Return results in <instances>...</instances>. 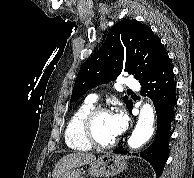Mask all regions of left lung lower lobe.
Masks as SVG:
<instances>
[{
  "label": "left lung lower lobe",
  "instance_id": "obj_1",
  "mask_svg": "<svg viewBox=\"0 0 194 178\" xmlns=\"http://www.w3.org/2000/svg\"><path fill=\"white\" fill-rule=\"evenodd\" d=\"M142 93H148L152 98L158 118L157 133L151 146L140 154L155 170L157 177L169 155L170 126L174 120V106L177 103L175 91L176 83L173 78V68L167 56L162 63L147 77L140 81ZM133 104L128 108L132 111ZM117 154H126L122 146L113 151Z\"/></svg>",
  "mask_w": 194,
  "mask_h": 178
}]
</instances>
